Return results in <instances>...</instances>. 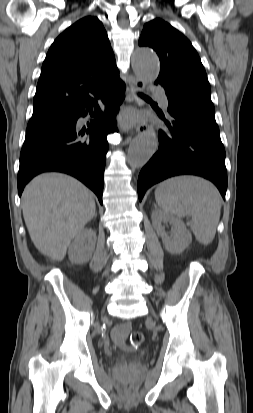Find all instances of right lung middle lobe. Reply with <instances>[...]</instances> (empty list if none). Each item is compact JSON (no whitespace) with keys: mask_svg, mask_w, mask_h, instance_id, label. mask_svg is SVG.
<instances>
[{"mask_svg":"<svg viewBox=\"0 0 253 413\" xmlns=\"http://www.w3.org/2000/svg\"><path fill=\"white\" fill-rule=\"evenodd\" d=\"M67 112L68 111L32 116L27 126L26 136L56 125L67 116Z\"/></svg>","mask_w":253,"mask_h":413,"instance_id":"obj_1","label":"right lung middle lobe"}]
</instances>
